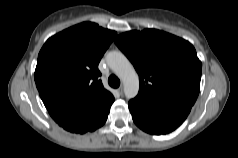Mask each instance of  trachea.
Instances as JSON below:
<instances>
[{
	"instance_id": "obj_1",
	"label": "trachea",
	"mask_w": 238,
	"mask_h": 158,
	"mask_svg": "<svg viewBox=\"0 0 238 158\" xmlns=\"http://www.w3.org/2000/svg\"><path fill=\"white\" fill-rule=\"evenodd\" d=\"M108 83L113 88H118L120 86V80L115 75L109 76Z\"/></svg>"
}]
</instances>
